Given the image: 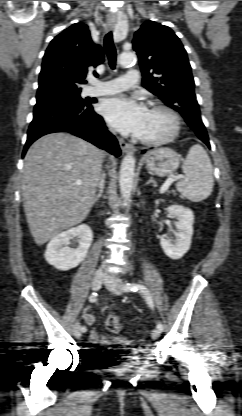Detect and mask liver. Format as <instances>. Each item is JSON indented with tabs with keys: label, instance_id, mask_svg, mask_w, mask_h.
I'll use <instances>...</instances> for the list:
<instances>
[{
	"label": "liver",
	"instance_id": "1",
	"mask_svg": "<svg viewBox=\"0 0 242 416\" xmlns=\"http://www.w3.org/2000/svg\"><path fill=\"white\" fill-rule=\"evenodd\" d=\"M103 158L104 152L93 144L63 132L47 134L29 148L22 171V195L37 245L87 217Z\"/></svg>",
	"mask_w": 242,
	"mask_h": 416
}]
</instances>
